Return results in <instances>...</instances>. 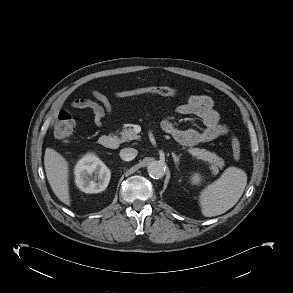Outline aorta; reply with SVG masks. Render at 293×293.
Instances as JSON below:
<instances>
[{"mask_svg":"<svg viewBox=\"0 0 293 293\" xmlns=\"http://www.w3.org/2000/svg\"><path fill=\"white\" fill-rule=\"evenodd\" d=\"M147 171L152 178L159 179L164 176L165 167L160 161H152L149 163Z\"/></svg>","mask_w":293,"mask_h":293,"instance_id":"aorta-1","label":"aorta"}]
</instances>
